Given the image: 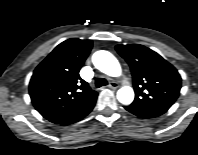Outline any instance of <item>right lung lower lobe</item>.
<instances>
[{"instance_id": "98d812e1", "label": "right lung lower lobe", "mask_w": 198, "mask_h": 155, "mask_svg": "<svg viewBox=\"0 0 198 155\" xmlns=\"http://www.w3.org/2000/svg\"><path fill=\"white\" fill-rule=\"evenodd\" d=\"M97 95L88 98L82 104H80L70 112L62 114L60 116L52 117L48 120L51 121L52 123H56L60 125H69L83 119L94 108V105L97 100Z\"/></svg>"}]
</instances>
